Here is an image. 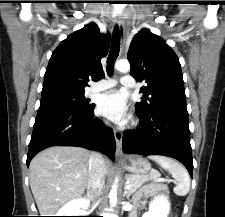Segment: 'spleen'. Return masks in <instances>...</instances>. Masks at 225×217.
I'll list each match as a JSON object with an SVG mask.
<instances>
[{"mask_svg": "<svg viewBox=\"0 0 225 217\" xmlns=\"http://www.w3.org/2000/svg\"><path fill=\"white\" fill-rule=\"evenodd\" d=\"M148 158L167 170L177 181V186L174 188L176 195L185 196L188 194L190 190V177L184 166L176 160L166 156L151 155Z\"/></svg>", "mask_w": 225, "mask_h": 217, "instance_id": "1", "label": "spleen"}]
</instances>
